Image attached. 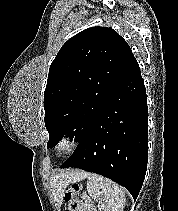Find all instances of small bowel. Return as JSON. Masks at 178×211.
<instances>
[{"instance_id": "1", "label": "small bowel", "mask_w": 178, "mask_h": 211, "mask_svg": "<svg viewBox=\"0 0 178 211\" xmlns=\"http://www.w3.org/2000/svg\"><path fill=\"white\" fill-rule=\"evenodd\" d=\"M80 211H96L95 208L87 201L82 202Z\"/></svg>"}]
</instances>
